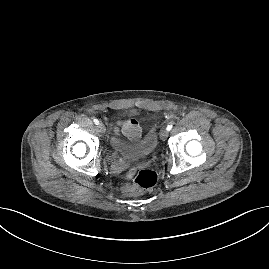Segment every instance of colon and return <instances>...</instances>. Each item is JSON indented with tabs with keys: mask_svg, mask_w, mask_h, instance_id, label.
I'll return each mask as SVG.
<instances>
[{
	"mask_svg": "<svg viewBox=\"0 0 269 269\" xmlns=\"http://www.w3.org/2000/svg\"><path fill=\"white\" fill-rule=\"evenodd\" d=\"M157 182V173L151 169H143L138 172L132 186L126 188V192L137 194L143 190L152 188Z\"/></svg>",
	"mask_w": 269,
	"mask_h": 269,
	"instance_id": "1",
	"label": "colon"
}]
</instances>
